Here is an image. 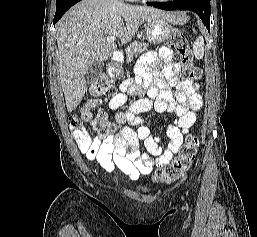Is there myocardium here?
Masks as SVG:
<instances>
[{
	"label": "myocardium",
	"mask_w": 257,
	"mask_h": 237,
	"mask_svg": "<svg viewBox=\"0 0 257 237\" xmlns=\"http://www.w3.org/2000/svg\"><path fill=\"white\" fill-rule=\"evenodd\" d=\"M149 1H153V2H170L172 0H149Z\"/></svg>",
	"instance_id": "1"
}]
</instances>
